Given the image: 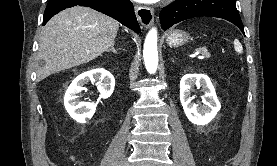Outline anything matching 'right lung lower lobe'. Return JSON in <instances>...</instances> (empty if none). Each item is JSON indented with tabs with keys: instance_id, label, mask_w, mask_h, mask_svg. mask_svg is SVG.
Segmentation results:
<instances>
[{
	"instance_id": "obj_1",
	"label": "right lung lower lobe",
	"mask_w": 277,
	"mask_h": 166,
	"mask_svg": "<svg viewBox=\"0 0 277 166\" xmlns=\"http://www.w3.org/2000/svg\"><path fill=\"white\" fill-rule=\"evenodd\" d=\"M76 5L87 6L102 12L140 33L133 4L129 0H49L43 17V25L61 10Z\"/></svg>"
}]
</instances>
